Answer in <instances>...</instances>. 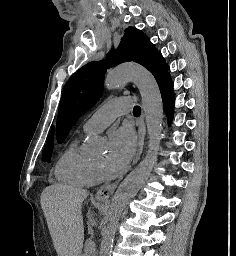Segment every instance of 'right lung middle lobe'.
<instances>
[{
    "instance_id": "1",
    "label": "right lung middle lobe",
    "mask_w": 236,
    "mask_h": 256,
    "mask_svg": "<svg viewBox=\"0 0 236 256\" xmlns=\"http://www.w3.org/2000/svg\"><path fill=\"white\" fill-rule=\"evenodd\" d=\"M52 150H53V142L46 143L43 151V156H42L44 161L46 162L50 161Z\"/></svg>"
}]
</instances>
